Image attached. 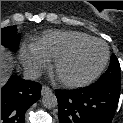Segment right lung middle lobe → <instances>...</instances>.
Segmentation results:
<instances>
[{
  "instance_id": "obj_1",
  "label": "right lung middle lobe",
  "mask_w": 123,
  "mask_h": 123,
  "mask_svg": "<svg viewBox=\"0 0 123 123\" xmlns=\"http://www.w3.org/2000/svg\"><path fill=\"white\" fill-rule=\"evenodd\" d=\"M15 26L1 29V45L11 50H17L20 42V34L16 33Z\"/></svg>"
}]
</instances>
